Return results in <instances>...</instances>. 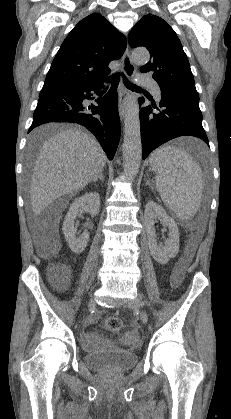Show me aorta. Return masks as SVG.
<instances>
[{"label":"aorta","instance_id":"aorta-1","mask_svg":"<svg viewBox=\"0 0 231 419\" xmlns=\"http://www.w3.org/2000/svg\"><path fill=\"white\" fill-rule=\"evenodd\" d=\"M132 59L136 63L144 64L149 61L150 54L146 49H135L132 52ZM124 125L123 169L127 177L135 178L142 159V143L139 104L134 94L127 101Z\"/></svg>","mask_w":231,"mask_h":419}]
</instances>
